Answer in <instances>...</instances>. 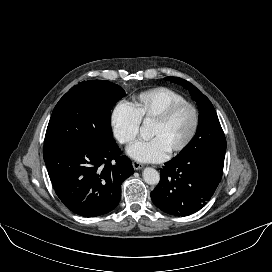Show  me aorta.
<instances>
[{
	"label": "aorta",
	"instance_id": "1",
	"mask_svg": "<svg viewBox=\"0 0 272 272\" xmlns=\"http://www.w3.org/2000/svg\"><path fill=\"white\" fill-rule=\"evenodd\" d=\"M140 133L143 138L146 139L148 137V125L146 122L142 125ZM143 179L149 185H156L159 183L160 176L158 171L154 168H145L143 171Z\"/></svg>",
	"mask_w": 272,
	"mask_h": 272
}]
</instances>
